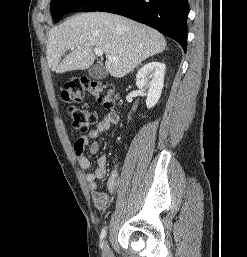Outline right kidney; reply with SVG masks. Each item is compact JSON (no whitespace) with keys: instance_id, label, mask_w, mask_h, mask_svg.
Instances as JSON below:
<instances>
[{"instance_id":"right-kidney-1","label":"right kidney","mask_w":247,"mask_h":257,"mask_svg":"<svg viewBox=\"0 0 247 257\" xmlns=\"http://www.w3.org/2000/svg\"><path fill=\"white\" fill-rule=\"evenodd\" d=\"M166 65L153 61L145 64L136 75V85L139 89H148L146 106L148 109L154 107L161 96L164 85V74Z\"/></svg>"}]
</instances>
